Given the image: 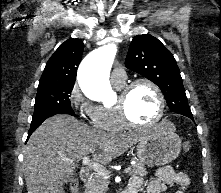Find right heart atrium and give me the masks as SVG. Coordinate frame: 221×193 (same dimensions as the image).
Returning a JSON list of instances; mask_svg holds the SVG:
<instances>
[{
  "label": "right heart atrium",
  "instance_id": "right-heart-atrium-1",
  "mask_svg": "<svg viewBox=\"0 0 221 193\" xmlns=\"http://www.w3.org/2000/svg\"><path fill=\"white\" fill-rule=\"evenodd\" d=\"M68 102L70 106L83 117L91 121L95 117L96 106L84 97L77 84L71 88L68 94Z\"/></svg>",
  "mask_w": 221,
  "mask_h": 193
}]
</instances>
